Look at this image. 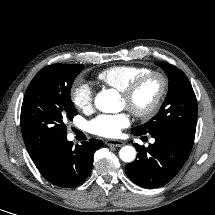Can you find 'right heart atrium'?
I'll use <instances>...</instances> for the list:
<instances>
[{
    "instance_id": "1",
    "label": "right heart atrium",
    "mask_w": 215,
    "mask_h": 215,
    "mask_svg": "<svg viewBox=\"0 0 215 215\" xmlns=\"http://www.w3.org/2000/svg\"><path fill=\"white\" fill-rule=\"evenodd\" d=\"M94 92L92 85L84 80L77 81L71 89V100L76 108L88 111L93 104Z\"/></svg>"
}]
</instances>
